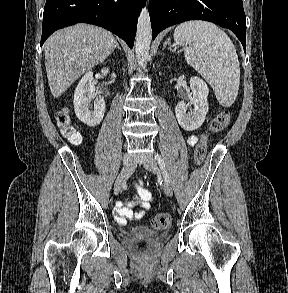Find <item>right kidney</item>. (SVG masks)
<instances>
[{
  "label": "right kidney",
  "instance_id": "ca27d5eb",
  "mask_svg": "<svg viewBox=\"0 0 288 293\" xmlns=\"http://www.w3.org/2000/svg\"><path fill=\"white\" fill-rule=\"evenodd\" d=\"M101 72L103 75H107L109 69L103 68ZM93 99H95L94 106L90 104ZM73 104L76 116L87 126H97L103 120L105 101L95 92L92 72H87L79 81L74 92Z\"/></svg>",
  "mask_w": 288,
  "mask_h": 293
}]
</instances>
